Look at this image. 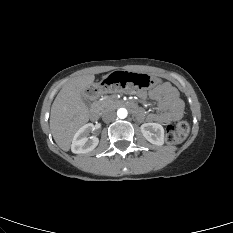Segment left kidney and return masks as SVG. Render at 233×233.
<instances>
[{
	"instance_id": "1",
	"label": "left kidney",
	"mask_w": 233,
	"mask_h": 233,
	"mask_svg": "<svg viewBox=\"0 0 233 233\" xmlns=\"http://www.w3.org/2000/svg\"><path fill=\"white\" fill-rule=\"evenodd\" d=\"M145 139L154 145L164 144V129L157 123H144L140 127Z\"/></svg>"
}]
</instances>
